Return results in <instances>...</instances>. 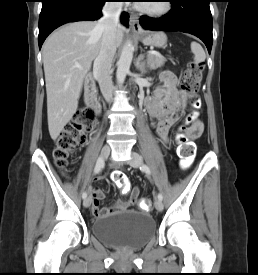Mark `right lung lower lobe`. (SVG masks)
I'll use <instances>...</instances> for the list:
<instances>
[{"label":"right lung lower lobe","instance_id":"98d812e1","mask_svg":"<svg viewBox=\"0 0 258 275\" xmlns=\"http://www.w3.org/2000/svg\"><path fill=\"white\" fill-rule=\"evenodd\" d=\"M38 43L41 48L46 37L57 27L74 21L96 20L107 0H41ZM122 23L127 25L129 15L123 13Z\"/></svg>","mask_w":258,"mask_h":275}]
</instances>
